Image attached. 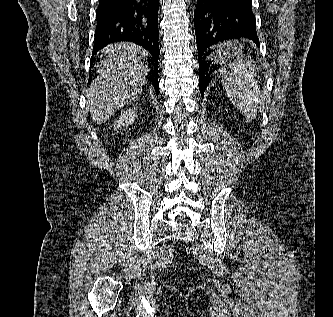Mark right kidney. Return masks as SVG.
I'll list each match as a JSON object with an SVG mask.
<instances>
[{"label": "right kidney", "instance_id": "ca27d5eb", "mask_svg": "<svg viewBox=\"0 0 333 317\" xmlns=\"http://www.w3.org/2000/svg\"><path fill=\"white\" fill-rule=\"evenodd\" d=\"M136 116L137 114L135 108L126 110L124 113L121 114L119 120L116 121L114 129L122 126H129L134 122Z\"/></svg>", "mask_w": 333, "mask_h": 317}]
</instances>
